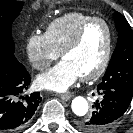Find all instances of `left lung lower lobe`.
<instances>
[{"label":"left lung lower lobe","instance_id":"left-lung-lower-lobe-1","mask_svg":"<svg viewBox=\"0 0 133 133\" xmlns=\"http://www.w3.org/2000/svg\"><path fill=\"white\" fill-rule=\"evenodd\" d=\"M98 94L103 96L102 101H96L92 115L85 121L88 133L102 132L120 118L127 110L132 99L131 94L121 90L103 89Z\"/></svg>","mask_w":133,"mask_h":133}]
</instances>
